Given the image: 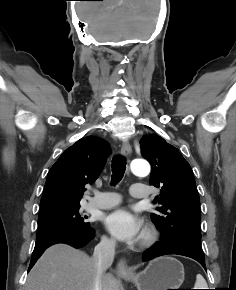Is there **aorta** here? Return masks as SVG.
I'll use <instances>...</instances> for the list:
<instances>
[{"instance_id":"aorta-1","label":"aorta","mask_w":236,"mask_h":290,"mask_svg":"<svg viewBox=\"0 0 236 290\" xmlns=\"http://www.w3.org/2000/svg\"><path fill=\"white\" fill-rule=\"evenodd\" d=\"M131 170L137 176H147L150 172L149 164L144 160H134L131 163Z\"/></svg>"}]
</instances>
